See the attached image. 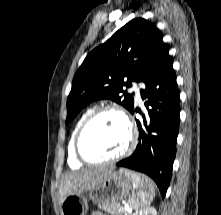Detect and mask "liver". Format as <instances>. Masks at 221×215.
<instances>
[{
	"label": "liver",
	"mask_w": 221,
	"mask_h": 215,
	"mask_svg": "<svg viewBox=\"0 0 221 215\" xmlns=\"http://www.w3.org/2000/svg\"><path fill=\"white\" fill-rule=\"evenodd\" d=\"M111 171V168L99 167L67 174L59 187L60 204L68 195L88 192L95 188Z\"/></svg>",
	"instance_id": "1"
}]
</instances>
